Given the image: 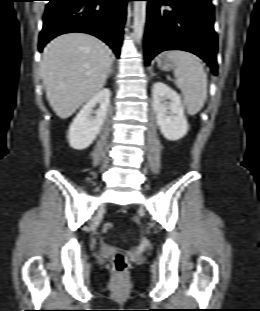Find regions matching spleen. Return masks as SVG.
I'll list each match as a JSON object with an SVG mask.
<instances>
[{
	"label": "spleen",
	"instance_id": "3e777b00",
	"mask_svg": "<svg viewBox=\"0 0 260 311\" xmlns=\"http://www.w3.org/2000/svg\"><path fill=\"white\" fill-rule=\"evenodd\" d=\"M167 57L175 63V83L182 91L190 115L197 114L207 98V75L199 59L186 51H170Z\"/></svg>",
	"mask_w": 260,
	"mask_h": 311
}]
</instances>
